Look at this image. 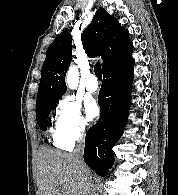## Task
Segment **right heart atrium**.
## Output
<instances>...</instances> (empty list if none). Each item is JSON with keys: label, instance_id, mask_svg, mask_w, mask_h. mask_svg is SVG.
Listing matches in <instances>:
<instances>
[{"label": "right heart atrium", "instance_id": "1", "mask_svg": "<svg viewBox=\"0 0 178 195\" xmlns=\"http://www.w3.org/2000/svg\"><path fill=\"white\" fill-rule=\"evenodd\" d=\"M86 131L80 103L72 96H64L58 105L55 139L63 146H70L83 140Z\"/></svg>", "mask_w": 178, "mask_h": 195}]
</instances>
